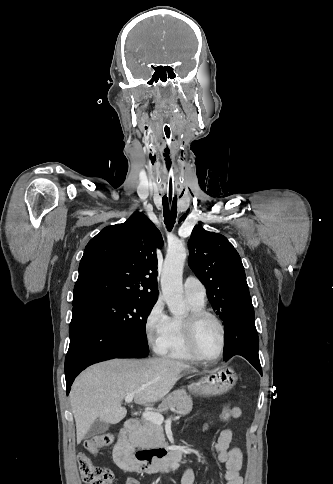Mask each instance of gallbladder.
<instances>
[{
	"label": "gallbladder",
	"mask_w": 333,
	"mask_h": 484,
	"mask_svg": "<svg viewBox=\"0 0 333 484\" xmlns=\"http://www.w3.org/2000/svg\"><path fill=\"white\" fill-rule=\"evenodd\" d=\"M109 429V423L101 420H96L88 430L86 438H91L96 435L105 433Z\"/></svg>",
	"instance_id": "obj_1"
}]
</instances>
